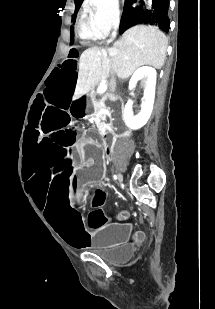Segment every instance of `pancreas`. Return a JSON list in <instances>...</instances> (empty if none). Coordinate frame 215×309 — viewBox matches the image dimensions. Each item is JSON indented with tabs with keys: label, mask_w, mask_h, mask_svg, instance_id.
<instances>
[{
	"label": "pancreas",
	"mask_w": 215,
	"mask_h": 309,
	"mask_svg": "<svg viewBox=\"0 0 215 309\" xmlns=\"http://www.w3.org/2000/svg\"><path fill=\"white\" fill-rule=\"evenodd\" d=\"M89 96H91V98H94L95 92H90ZM97 114H100V116H101V114H106V112H105V110H99V112H97ZM100 116H96L97 120H98V118H100Z\"/></svg>",
	"instance_id": "obj_1"
}]
</instances>
